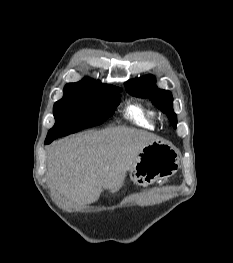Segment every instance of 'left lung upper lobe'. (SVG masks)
<instances>
[{"mask_svg": "<svg viewBox=\"0 0 233 263\" xmlns=\"http://www.w3.org/2000/svg\"><path fill=\"white\" fill-rule=\"evenodd\" d=\"M125 87L127 92L133 96L149 98L156 107L167 114L173 127L176 128L177 117L172 107V94L168 90L158 89L152 75L129 80L125 83Z\"/></svg>", "mask_w": 233, "mask_h": 263, "instance_id": "1", "label": "left lung upper lobe"}]
</instances>
